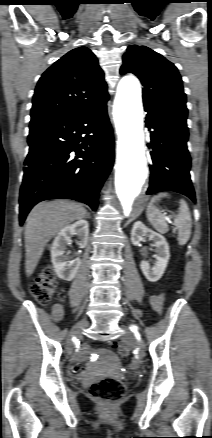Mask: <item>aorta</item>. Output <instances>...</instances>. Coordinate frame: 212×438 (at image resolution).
I'll return each instance as SVG.
<instances>
[{
  "mask_svg": "<svg viewBox=\"0 0 212 438\" xmlns=\"http://www.w3.org/2000/svg\"><path fill=\"white\" fill-rule=\"evenodd\" d=\"M142 112L139 81L124 77L118 84L113 116L118 134L115 188L126 216L132 212L147 178Z\"/></svg>",
  "mask_w": 212,
  "mask_h": 438,
  "instance_id": "aorta-1",
  "label": "aorta"
}]
</instances>
